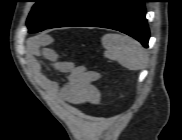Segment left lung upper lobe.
I'll return each instance as SVG.
<instances>
[{
  "label": "left lung upper lobe",
  "mask_w": 182,
  "mask_h": 140,
  "mask_svg": "<svg viewBox=\"0 0 182 140\" xmlns=\"http://www.w3.org/2000/svg\"><path fill=\"white\" fill-rule=\"evenodd\" d=\"M104 0H36L27 19L29 33L67 27L84 17Z\"/></svg>",
  "instance_id": "obj_1"
}]
</instances>
